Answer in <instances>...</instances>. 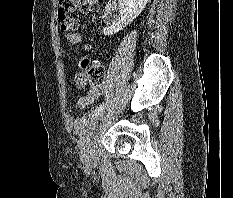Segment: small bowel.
Returning a JSON list of instances; mask_svg holds the SVG:
<instances>
[{"label": "small bowel", "mask_w": 233, "mask_h": 198, "mask_svg": "<svg viewBox=\"0 0 233 198\" xmlns=\"http://www.w3.org/2000/svg\"><path fill=\"white\" fill-rule=\"evenodd\" d=\"M81 61H82V64H81L82 67H86L88 65L89 61L87 58H84ZM77 86L81 87L82 84L80 82H78ZM101 93H102V87H100V86L95 88V89H90L86 95L80 96L77 99V106L79 108H86L87 106L94 103L99 98Z\"/></svg>", "instance_id": "c3829d8e"}]
</instances>
